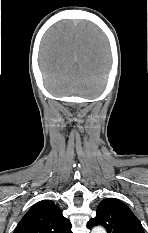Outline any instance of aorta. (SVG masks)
<instances>
[{
    "instance_id": "aorta-1",
    "label": "aorta",
    "mask_w": 148,
    "mask_h": 233,
    "mask_svg": "<svg viewBox=\"0 0 148 233\" xmlns=\"http://www.w3.org/2000/svg\"><path fill=\"white\" fill-rule=\"evenodd\" d=\"M91 233H106V231L103 227L98 226L94 227Z\"/></svg>"
}]
</instances>
